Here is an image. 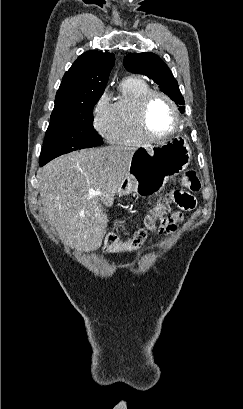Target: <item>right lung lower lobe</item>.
<instances>
[{
  "label": "right lung lower lobe",
  "mask_w": 243,
  "mask_h": 409,
  "mask_svg": "<svg viewBox=\"0 0 243 409\" xmlns=\"http://www.w3.org/2000/svg\"><path fill=\"white\" fill-rule=\"evenodd\" d=\"M83 148H42L39 165L43 166L48 163L50 160L62 155L66 154L75 150H79Z\"/></svg>",
  "instance_id": "98d812e1"
}]
</instances>
